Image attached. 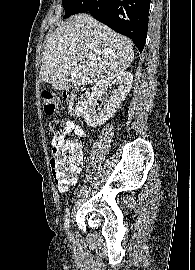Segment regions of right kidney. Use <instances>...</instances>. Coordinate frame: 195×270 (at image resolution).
<instances>
[{
	"mask_svg": "<svg viewBox=\"0 0 195 270\" xmlns=\"http://www.w3.org/2000/svg\"><path fill=\"white\" fill-rule=\"evenodd\" d=\"M132 82L133 75L128 71H122L119 74L96 82L92 87L91 96L84 107V118L87 125L91 127L101 126L110 119L130 92ZM112 85H116L117 89L112 91V95L106 101L103 109L95 110L97 100Z\"/></svg>",
	"mask_w": 195,
	"mask_h": 270,
	"instance_id": "obj_1",
	"label": "right kidney"
}]
</instances>
